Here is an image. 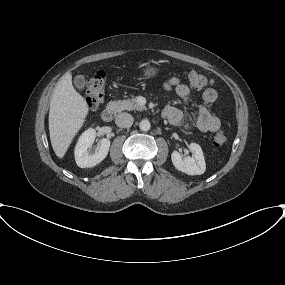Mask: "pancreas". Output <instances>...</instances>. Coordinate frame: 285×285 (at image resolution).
I'll use <instances>...</instances> for the list:
<instances>
[{"label": "pancreas", "instance_id": "cf45deb5", "mask_svg": "<svg viewBox=\"0 0 285 285\" xmlns=\"http://www.w3.org/2000/svg\"><path fill=\"white\" fill-rule=\"evenodd\" d=\"M110 105L113 106L116 112H121L123 110H145V106H141L137 103L135 98L127 99V100H118L115 102H111Z\"/></svg>", "mask_w": 285, "mask_h": 285}]
</instances>
